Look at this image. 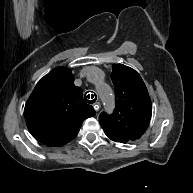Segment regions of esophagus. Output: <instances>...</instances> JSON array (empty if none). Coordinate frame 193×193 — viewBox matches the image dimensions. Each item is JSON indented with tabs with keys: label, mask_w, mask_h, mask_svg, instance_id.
Instances as JSON below:
<instances>
[{
	"label": "esophagus",
	"mask_w": 193,
	"mask_h": 193,
	"mask_svg": "<svg viewBox=\"0 0 193 193\" xmlns=\"http://www.w3.org/2000/svg\"><path fill=\"white\" fill-rule=\"evenodd\" d=\"M89 94H90V95H91V94L95 95L94 93H91V92H90ZM93 108H94L96 111H98V110L100 109V103H99L98 101H96L95 104H94V106H93Z\"/></svg>",
	"instance_id": "1"
}]
</instances>
